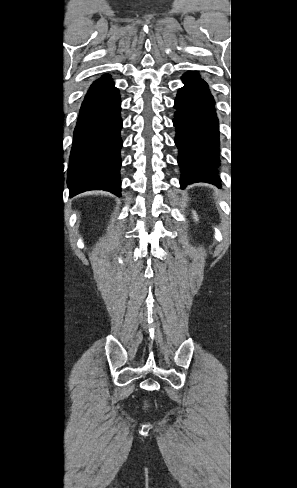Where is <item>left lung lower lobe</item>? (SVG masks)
Masks as SVG:
<instances>
[{
	"label": "left lung lower lobe",
	"mask_w": 297,
	"mask_h": 488,
	"mask_svg": "<svg viewBox=\"0 0 297 488\" xmlns=\"http://www.w3.org/2000/svg\"><path fill=\"white\" fill-rule=\"evenodd\" d=\"M184 87L175 99L173 119L175 143L179 149L181 186L207 182L220 186L216 173L219 164V127L215 101L208 84L194 72L182 76Z\"/></svg>",
	"instance_id": "obj_1"
}]
</instances>
